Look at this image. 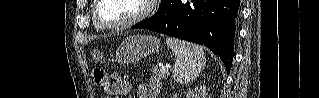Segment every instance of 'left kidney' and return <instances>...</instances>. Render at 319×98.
Wrapping results in <instances>:
<instances>
[{
	"instance_id": "1",
	"label": "left kidney",
	"mask_w": 319,
	"mask_h": 98,
	"mask_svg": "<svg viewBox=\"0 0 319 98\" xmlns=\"http://www.w3.org/2000/svg\"><path fill=\"white\" fill-rule=\"evenodd\" d=\"M186 98H207V89L205 86H198L189 90L186 94Z\"/></svg>"
}]
</instances>
